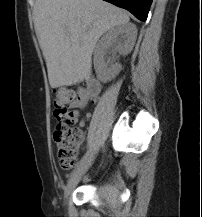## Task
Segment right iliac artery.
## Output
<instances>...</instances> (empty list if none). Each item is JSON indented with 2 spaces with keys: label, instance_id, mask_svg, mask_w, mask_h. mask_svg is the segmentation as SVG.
I'll return each instance as SVG.
<instances>
[{
  "label": "right iliac artery",
  "instance_id": "obj_1",
  "mask_svg": "<svg viewBox=\"0 0 202 217\" xmlns=\"http://www.w3.org/2000/svg\"><path fill=\"white\" fill-rule=\"evenodd\" d=\"M89 155H90V151H88V152L82 157V159H81V161L79 162V164L77 165V167L72 171L70 177H72V176L75 174V172H76L81 166H83V165L85 164V162H86V160L88 159Z\"/></svg>",
  "mask_w": 202,
  "mask_h": 217
}]
</instances>
